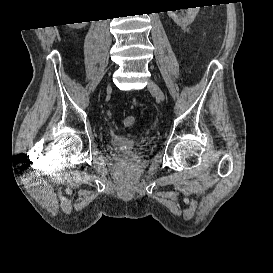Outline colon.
Segmentation results:
<instances>
[{"instance_id":"obj_1","label":"colon","mask_w":273,"mask_h":273,"mask_svg":"<svg viewBox=\"0 0 273 273\" xmlns=\"http://www.w3.org/2000/svg\"><path fill=\"white\" fill-rule=\"evenodd\" d=\"M136 123V119L134 116H127L123 120V124L125 127H132Z\"/></svg>"}]
</instances>
